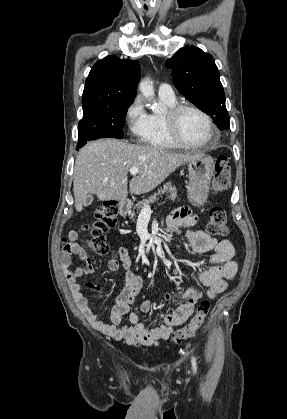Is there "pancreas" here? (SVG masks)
<instances>
[{
  "mask_svg": "<svg viewBox=\"0 0 287 419\" xmlns=\"http://www.w3.org/2000/svg\"><path fill=\"white\" fill-rule=\"evenodd\" d=\"M165 193L167 195L169 194V198L172 201H175L178 198L176 187L173 186L171 182H167L164 185L163 188H161L160 190H158V193H156L154 195H151L148 199H144V200L138 202L136 204L135 208H137V210H140V209H142L144 207V205H146V204L149 205V204L155 202L156 199H157V196L162 195V194H165ZM134 216H135V213L132 212L131 213V218H133Z\"/></svg>",
  "mask_w": 287,
  "mask_h": 419,
  "instance_id": "1",
  "label": "pancreas"
}]
</instances>
